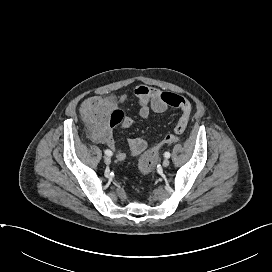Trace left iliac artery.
Wrapping results in <instances>:
<instances>
[{
  "label": "left iliac artery",
  "instance_id": "1",
  "mask_svg": "<svg viewBox=\"0 0 272 272\" xmlns=\"http://www.w3.org/2000/svg\"><path fill=\"white\" fill-rule=\"evenodd\" d=\"M164 157H165V158H169V157H170V153H169V152H165V153H164Z\"/></svg>",
  "mask_w": 272,
  "mask_h": 272
}]
</instances>
